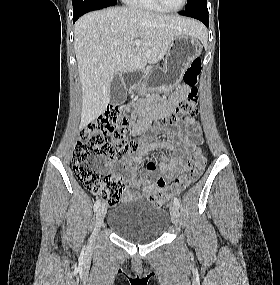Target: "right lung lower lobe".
<instances>
[{
	"mask_svg": "<svg viewBox=\"0 0 280 285\" xmlns=\"http://www.w3.org/2000/svg\"><path fill=\"white\" fill-rule=\"evenodd\" d=\"M102 8H106V7H99V8L93 9V10L102 9ZM88 11H92V10H83V11H80L77 13H73V22H75L81 15H83L84 13H86Z\"/></svg>",
	"mask_w": 280,
	"mask_h": 285,
	"instance_id": "1",
	"label": "right lung lower lobe"
}]
</instances>
